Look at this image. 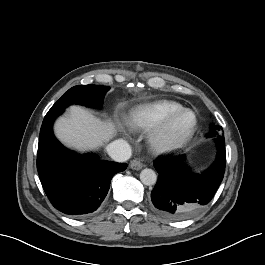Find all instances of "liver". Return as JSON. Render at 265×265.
<instances>
[{"instance_id":"6515ba94","label":"liver","mask_w":265,"mask_h":265,"mask_svg":"<svg viewBox=\"0 0 265 265\" xmlns=\"http://www.w3.org/2000/svg\"><path fill=\"white\" fill-rule=\"evenodd\" d=\"M54 132L65 145L79 151H87L109 141L116 130L112 122L101 121L86 109L71 106L69 114L55 122Z\"/></svg>"}]
</instances>
